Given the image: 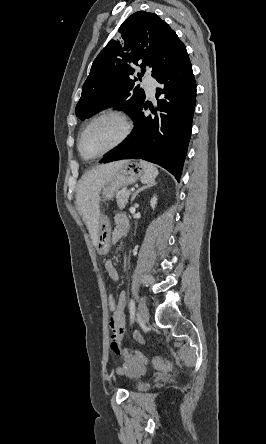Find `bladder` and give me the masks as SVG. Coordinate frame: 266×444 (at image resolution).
Masks as SVG:
<instances>
[{"mask_svg":"<svg viewBox=\"0 0 266 444\" xmlns=\"http://www.w3.org/2000/svg\"><path fill=\"white\" fill-rule=\"evenodd\" d=\"M149 389H150V384H147V383H140V384L136 385L137 391L144 392V391H148Z\"/></svg>","mask_w":266,"mask_h":444,"instance_id":"31cf9c89","label":"bladder"}]
</instances>
